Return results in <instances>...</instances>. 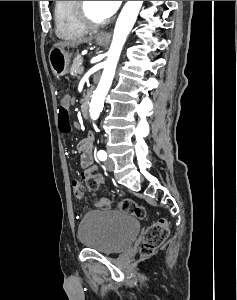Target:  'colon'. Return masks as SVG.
Masks as SVG:
<instances>
[{
	"label": "colon",
	"instance_id": "colon-1",
	"mask_svg": "<svg viewBox=\"0 0 237 300\" xmlns=\"http://www.w3.org/2000/svg\"><path fill=\"white\" fill-rule=\"evenodd\" d=\"M58 126L62 133H70L72 125L70 120L69 109L66 104L61 103L58 111ZM86 188L90 192H95L103 183V178L97 174H84ZM119 209L126 214L143 219L146 211L143 206L133 200L123 199L118 203ZM169 234L168 224L166 220L161 219L151 224L144 233L142 243L140 245V254L148 256L154 253L167 239Z\"/></svg>",
	"mask_w": 237,
	"mask_h": 300
}]
</instances>
